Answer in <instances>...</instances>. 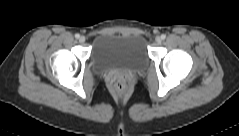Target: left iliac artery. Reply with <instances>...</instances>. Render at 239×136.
<instances>
[{"label": "left iliac artery", "instance_id": "44dca946", "mask_svg": "<svg viewBox=\"0 0 239 136\" xmlns=\"http://www.w3.org/2000/svg\"><path fill=\"white\" fill-rule=\"evenodd\" d=\"M165 38H166V35H165V34H162V35H161V39L164 40Z\"/></svg>", "mask_w": 239, "mask_h": 136}]
</instances>
